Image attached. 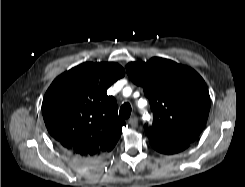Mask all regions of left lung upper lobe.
Returning a JSON list of instances; mask_svg holds the SVG:
<instances>
[{"mask_svg": "<svg viewBox=\"0 0 245 187\" xmlns=\"http://www.w3.org/2000/svg\"><path fill=\"white\" fill-rule=\"evenodd\" d=\"M130 79L144 89L154 115L146 126L149 140L165 144L194 142L202 132L210 109L206 83L193 69L154 57L126 66Z\"/></svg>", "mask_w": 245, "mask_h": 187, "instance_id": "5c2ea615", "label": "left lung upper lobe"}]
</instances>
